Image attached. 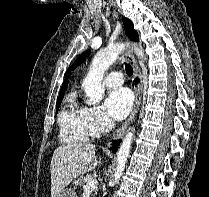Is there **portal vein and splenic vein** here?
<instances>
[{
  "mask_svg": "<svg viewBox=\"0 0 209 197\" xmlns=\"http://www.w3.org/2000/svg\"><path fill=\"white\" fill-rule=\"evenodd\" d=\"M98 184V181L96 179H92L87 182L84 190L85 192H90L91 190L95 189Z\"/></svg>",
  "mask_w": 209,
  "mask_h": 197,
  "instance_id": "18ae733b",
  "label": "portal vein and splenic vein"
}]
</instances>
